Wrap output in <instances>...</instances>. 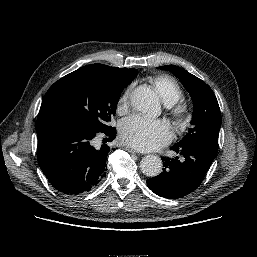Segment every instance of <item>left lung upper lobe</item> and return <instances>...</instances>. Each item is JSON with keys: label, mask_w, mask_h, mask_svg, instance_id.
Returning <instances> with one entry per match:
<instances>
[{"label": "left lung upper lobe", "mask_w": 257, "mask_h": 257, "mask_svg": "<svg viewBox=\"0 0 257 257\" xmlns=\"http://www.w3.org/2000/svg\"><path fill=\"white\" fill-rule=\"evenodd\" d=\"M169 70L190 92L193 100V114L188 134L178 143L200 142L218 148V134L221 127V114L218 101L212 89L201 79L175 65L160 66Z\"/></svg>", "instance_id": "obj_1"}]
</instances>
